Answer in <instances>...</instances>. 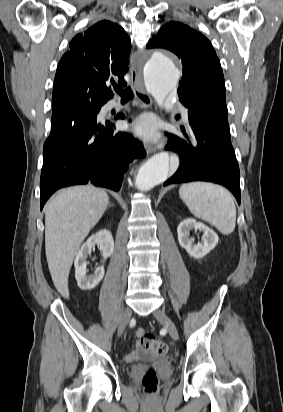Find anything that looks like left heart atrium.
Segmentation results:
<instances>
[{
    "label": "left heart atrium",
    "instance_id": "obj_1",
    "mask_svg": "<svg viewBox=\"0 0 283 412\" xmlns=\"http://www.w3.org/2000/svg\"><path fill=\"white\" fill-rule=\"evenodd\" d=\"M129 130L145 142H154L158 138L156 121L149 115H143L135 119L129 126Z\"/></svg>",
    "mask_w": 283,
    "mask_h": 412
}]
</instances>
